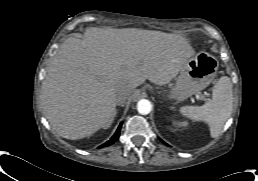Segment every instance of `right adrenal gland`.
I'll use <instances>...</instances> for the list:
<instances>
[{
  "label": "right adrenal gland",
  "mask_w": 258,
  "mask_h": 181,
  "mask_svg": "<svg viewBox=\"0 0 258 181\" xmlns=\"http://www.w3.org/2000/svg\"><path fill=\"white\" fill-rule=\"evenodd\" d=\"M116 114H117V110H115L114 116H113V118L110 120V122L104 126V129H107V128H109V127L111 126V124H112L113 121H114V118H115Z\"/></svg>",
  "instance_id": "2a0ac1e0"
}]
</instances>
